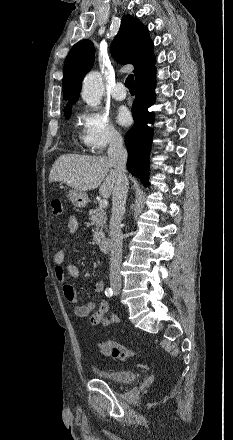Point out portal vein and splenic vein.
<instances>
[{"label":"portal vein and splenic vein","instance_id":"portal-vein-and-splenic-vein-1","mask_svg":"<svg viewBox=\"0 0 233 440\" xmlns=\"http://www.w3.org/2000/svg\"><path fill=\"white\" fill-rule=\"evenodd\" d=\"M108 206V201H107V199H102L100 202H99V207L100 208H106Z\"/></svg>","mask_w":233,"mask_h":440}]
</instances>
